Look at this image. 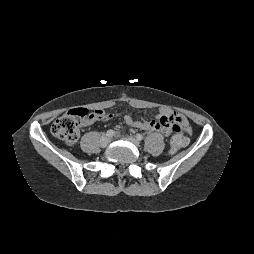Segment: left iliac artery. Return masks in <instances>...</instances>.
Instances as JSON below:
<instances>
[{"instance_id": "44dca946", "label": "left iliac artery", "mask_w": 254, "mask_h": 254, "mask_svg": "<svg viewBox=\"0 0 254 254\" xmlns=\"http://www.w3.org/2000/svg\"><path fill=\"white\" fill-rule=\"evenodd\" d=\"M135 137H136V139L139 140V141L143 140V136H142L141 134H136Z\"/></svg>"}]
</instances>
